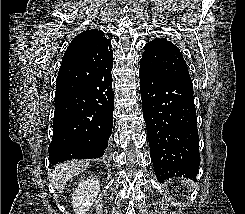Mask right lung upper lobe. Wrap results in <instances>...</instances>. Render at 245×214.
Returning a JSON list of instances; mask_svg holds the SVG:
<instances>
[{
    "label": "right lung upper lobe",
    "instance_id": "obj_1",
    "mask_svg": "<svg viewBox=\"0 0 245 214\" xmlns=\"http://www.w3.org/2000/svg\"><path fill=\"white\" fill-rule=\"evenodd\" d=\"M113 61L110 41L98 29L86 30L76 36L62 59L59 71H73L72 86L82 88L95 75L97 68Z\"/></svg>",
    "mask_w": 245,
    "mask_h": 214
}]
</instances>
